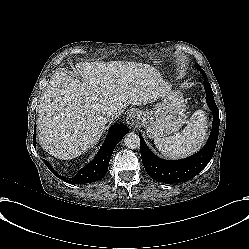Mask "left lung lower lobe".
Here are the masks:
<instances>
[{"label":"left lung lower lobe","mask_w":249,"mask_h":249,"mask_svg":"<svg viewBox=\"0 0 249 249\" xmlns=\"http://www.w3.org/2000/svg\"><path fill=\"white\" fill-rule=\"evenodd\" d=\"M203 75L205 77L206 102L213 112V129L206 145L197 154L181 160H162L148 149L141 134H139L142 162L146 172L154 180L165 184L187 181L202 171L214 154L219 134V111L207 76L205 73Z\"/></svg>","instance_id":"obj_1"}]
</instances>
